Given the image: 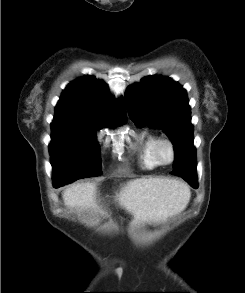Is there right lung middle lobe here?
<instances>
[{
	"instance_id": "1",
	"label": "right lung middle lobe",
	"mask_w": 245,
	"mask_h": 293,
	"mask_svg": "<svg viewBox=\"0 0 245 293\" xmlns=\"http://www.w3.org/2000/svg\"><path fill=\"white\" fill-rule=\"evenodd\" d=\"M49 145L53 183L58 186L102 174L96 128L52 123Z\"/></svg>"
}]
</instances>
